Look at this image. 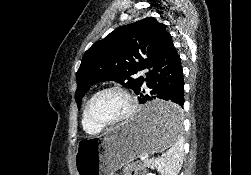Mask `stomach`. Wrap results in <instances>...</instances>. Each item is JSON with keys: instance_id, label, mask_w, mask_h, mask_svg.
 I'll return each instance as SVG.
<instances>
[{"instance_id": "0dacf381", "label": "stomach", "mask_w": 251, "mask_h": 175, "mask_svg": "<svg viewBox=\"0 0 251 175\" xmlns=\"http://www.w3.org/2000/svg\"><path fill=\"white\" fill-rule=\"evenodd\" d=\"M172 105L173 100H146L130 121L105 135L80 139L73 157L76 175H113L139 155L170 148L172 141H177L171 134L183 133L182 129H168L182 127L180 114H167L179 110Z\"/></svg>"}]
</instances>
